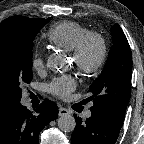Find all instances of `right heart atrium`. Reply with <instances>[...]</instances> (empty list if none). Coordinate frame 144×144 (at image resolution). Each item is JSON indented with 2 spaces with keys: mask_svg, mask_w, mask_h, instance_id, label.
Masks as SVG:
<instances>
[{
  "mask_svg": "<svg viewBox=\"0 0 144 144\" xmlns=\"http://www.w3.org/2000/svg\"><path fill=\"white\" fill-rule=\"evenodd\" d=\"M31 65H32L33 69L36 71L42 70L45 66L44 58H43L42 54H40V53L34 54L32 61H31Z\"/></svg>",
  "mask_w": 144,
  "mask_h": 144,
  "instance_id": "right-heart-atrium-1",
  "label": "right heart atrium"
}]
</instances>
